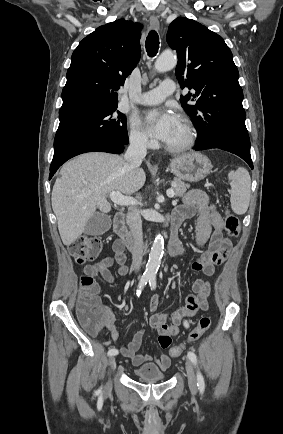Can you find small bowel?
I'll list each match as a JSON object with an SVG mask.
<instances>
[{
	"label": "small bowel",
	"mask_w": 283,
	"mask_h": 434,
	"mask_svg": "<svg viewBox=\"0 0 283 434\" xmlns=\"http://www.w3.org/2000/svg\"><path fill=\"white\" fill-rule=\"evenodd\" d=\"M198 216L196 225V242L199 247L206 243L208 249L204 251L192 264V270L201 273L202 277L196 279L192 285L193 293L185 298V305L171 313H155L150 318V327L159 335L158 341L161 348H168L172 337L177 335L182 319L197 315L200 311L208 309V296L210 294V284L207 277L215 273V267L222 264L229 256L232 249V242L224 237V222L217 211L215 205L210 203L207 194L195 188L190 190L184 197L183 202L171 215V224L180 227L185 219ZM169 251L173 257L182 258L185 255L184 249L178 239L177 242L169 244ZM125 247L119 240L113 243V256L105 257L98 262L85 267V274L92 277L101 276L106 282L113 284L114 276L110 268L116 264L119 276L128 274L126 264ZM158 306V297L153 296L149 303L150 311L154 312ZM103 325L116 343L119 340V333L115 326V316L113 312L102 307ZM143 331L137 332L132 340L119 349L120 354L129 358L135 367H140L146 362H151L153 357L149 354L139 353L143 340ZM118 350V349H117ZM155 363L161 370H166L171 364L168 354H161L155 359Z\"/></svg>",
	"instance_id": "obj_1"
}]
</instances>
